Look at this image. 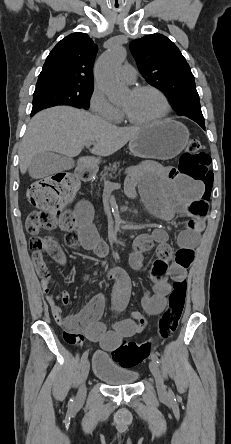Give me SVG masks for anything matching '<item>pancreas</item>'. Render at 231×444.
<instances>
[{
	"mask_svg": "<svg viewBox=\"0 0 231 444\" xmlns=\"http://www.w3.org/2000/svg\"><path fill=\"white\" fill-rule=\"evenodd\" d=\"M117 170L120 172V162H114L110 164L109 166L105 167L103 171L100 173V181L112 178L113 175L117 172Z\"/></svg>",
	"mask_w": 231,
	"mask_h": 444,
	"instance_id": "obj_1",
	"label": "pancreas"
}]
</instances>
